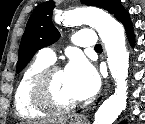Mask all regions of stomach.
Here are the masks:
<instances>
[{
    "mask_svg": "<svg viewBox=\"0 0 145 124\" xmlns=\"http://www.w3.org/2000/svg\"><path fill=\"white\" fill-rule=\"evenodd\" d=\"M64 124H84L82 121L75 120V121H70L69 123H64Z\"/></svg>",
    "mask_w": 145,
    "mask_h": 124,
    "instance_id": "0dacf381",
    "label": "stomach"
}]
</instances>
